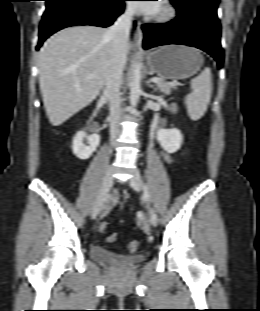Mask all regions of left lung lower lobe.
Wrapping results in <instances>:
<instances>
[{"instance_id":"1","label":"left lung lower lobe","mask_w":260,"mask_h":311,"mask_svg":"<svg viewBox=\"0 0 260 311\" xmlns=\"http://www.w3.org/2000/svg\"><path fill=\"white\" fill-rule=\"evenodd\" d=\"M143 47L184 44L204 50L222 67L224 53L220 44L221 26L218 19L199 11L177 12V18L164 24H144Z\"/></svg>"}]
</instances>
